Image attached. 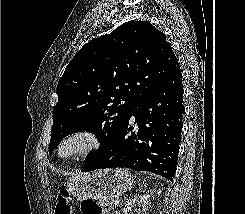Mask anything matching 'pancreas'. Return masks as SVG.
Wrapping results in <instances>:
<instances>
[{
	"mask_svg": "<svg viewBox=\"0 0 245 214\" xmlns=\"http://www.w3.org/2000/svg\"><path fill=\"white\" fill-rule=\"evenodd\" d=\"M113 203H114L113 200H111V201H103V202H102V204H103V205H106V206H112Z\"/></svg>",
	"mask_w": 245,
	"mask_h": 214,
	"instance_id": "1",
	"label": "pancreas"
}]
</instances>
